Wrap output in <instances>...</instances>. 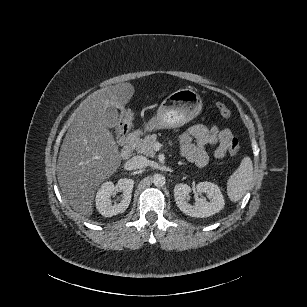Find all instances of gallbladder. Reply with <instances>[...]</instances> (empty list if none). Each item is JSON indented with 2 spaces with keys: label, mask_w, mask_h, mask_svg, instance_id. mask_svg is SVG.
Here are the masks:
<instances>
[{
  "label": "gallbladder",
  "mask_w": 307,
  "mask_h": 307,
  "mask_svg": "<svg viewBox=\"0 0 307 307\" xmlns=\"http://www.w3.org/2000/svg\"><path fill=\"white\" fill-rule=\"evenodd\" d=\"M106 111V116H107V120H106V125L108 129H114L117 125V118H118V113L117 111H115L114 107L112 106H107L105 108Z\"/></svg>",
  "instance_id": "gallbladder-1"
}]
</instances>
